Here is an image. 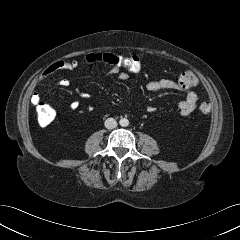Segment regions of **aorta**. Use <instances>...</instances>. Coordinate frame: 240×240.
Masks as SVG:
<instances>
[{"label": "aorta", "mask_w": 240, "mask_h": 240, "mask_svg": "<svg viewBox=\"0 0 240 240\" xmlns=\"http://www.w3.org/2000/svg\"><path fill=\"white\" fill-rule=\"evenodd\" d=\"M119 124H120L122 127H126V126L129 125V120L126 119V118H122V119H120Z\"/></svg>", "instance_id": "obj_1"}]
</instances>
